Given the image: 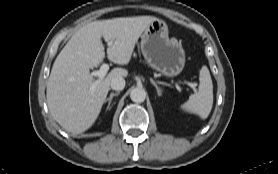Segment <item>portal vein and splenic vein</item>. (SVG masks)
I'll return each instance as SVG.
<instances>
[{
    "instance_id": "1",
    "label": "portal vein and splenic vein",
    "mask_w": 278,
    "mask_h": 174,
    "mask_svg": "<svg viewBox=\"0 0 278 174\" xmlns=\"http://www.w3.org/2000/svg\"><path fill=\"white\" fill-rule=\"evenodd\" d=\"M108 70H109V65H108V64H102L101 67H100V69H99V70H96V71H93V72L91 73V75H92V76H95V77H98V80H101V79H103V78L106 76ZM97 83H98V81H96V82L92 85L91 88L94 89ZM186 84H188L189 86H191L192 88H194V86H192L191 83L186 82Z\"/></svg>"
}]
</instances>
